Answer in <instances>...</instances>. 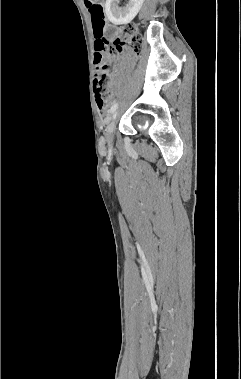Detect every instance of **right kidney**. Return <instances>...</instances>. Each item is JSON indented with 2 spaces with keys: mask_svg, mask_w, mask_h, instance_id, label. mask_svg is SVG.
Masks as SVG:
<instances>
[{
  "mask_svg": "<svg viewBox=\"0 0 241 379\" xmlns=\"http://www.w3.org/2000/svg\"><path fill=\"white\" fill-rule=\"evenodd\" d=\"M119 0H106L105 12L109 21L114 25L130 23L138 14L144 0H129L128 4L120 8Z\"/></svg>",
  "mask_w": 241,
  "mask_h": 379,
  "instance_id": "right-kidney-1",
  "label": "right kidney"
}]
</instances>
